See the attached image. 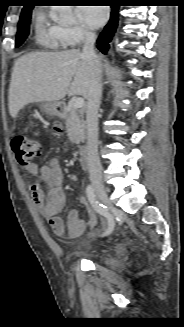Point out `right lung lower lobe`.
<instances>
[{"mask_svg":"<svg viewBox=\"0 0 184 327\" xmlns=\"http://www.w3.org/2000/svg\"><path fill=\"white\" fill-rule=\"evenodd\" d=\"M111 16L108 24L104 27V30L100 34L99 38L97 39V48L104 54H106L109 48V42L116 31L118 26V16H119V6L113 5L111 6Z\"/></svg>","mask_w":184,"mask_h":327,"instance_id":"right-lung-lower-lobe-1","label":"right lung lower lobe"}]
</instances>
